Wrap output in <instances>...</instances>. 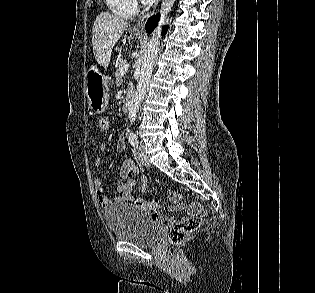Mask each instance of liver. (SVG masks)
<instances>
[{
	"label": "liver",
	"mask_w": 315,
	"mask_h": 293,
	"mask_svg": "<svg viewBox=\"0 0 315 293\" xmlns=\"http://www.w3.org/2000/svg\"><path fill=\"white\" fill-rule=\"evenodd\" d=\"M122 18L101 12L92 28V46L97 61L109 63L112 49L128 27Z\"/></svg>",
	"instance_id": "obj_1"
}]
</instances>
